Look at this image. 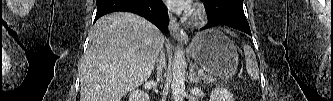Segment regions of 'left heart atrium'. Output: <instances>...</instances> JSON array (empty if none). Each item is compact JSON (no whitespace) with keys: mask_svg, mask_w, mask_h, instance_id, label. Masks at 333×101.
Instances as JSON below:
<instances>
[{"mask_svg":"<svg viewBox=\"0 0 333 101\" xmlns=\"http://www.w3.org/2000/svg\"><path fill=\"white\" fill-rule=\"evenodd\" d=\"M168 7L177 12L186 11L190 9L191 1L189 0H170L167 2Z\"/></svg>","mask_w":333,"mask_h":101,"instance_id":"left-heart-atrium-1","label":"left heart atrium"}]
</instances>
